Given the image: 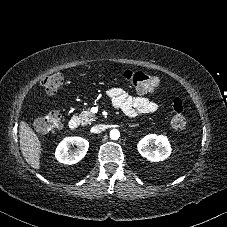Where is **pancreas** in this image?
<instances>
[{"label": "pancreas", "mask_w": 227, "mask_h": 227, "mask_svg": "<svg viewBox=\"0 0 227 227\" xmlns=\"http://www.w3.org/2000/svg\"><path fill=\"white\" fill-rule=\"evenodd\" d=\"M79 119L81 124L88 125L95 121L96 116L89 109H87L81 112Z\"/></svg>", "instance_id": "obj_1"}]
</instances>
